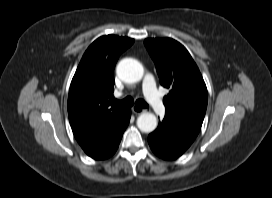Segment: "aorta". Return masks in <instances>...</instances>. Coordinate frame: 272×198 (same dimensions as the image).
<instances>
[{
    "label": "aorta",
    "mask_w": 272,
    "mask_h": 198,
    "mask_svg": "<svg viewBox=\"0 0 272 198\" xmlns=\"http://www.w3.org/2000/svg\"><path fill=\"white\" fill-rule=\"evenodd\" d=\"M116 73L124 82L135 83L142 79L144 69L137 60L126 58L118 63ZM137 126L140 131L145 133L154 131L157 127L156 116L152 113L141 114L137 119Z\"/></svg>",
    "instance_id": "1"
}]
</instances>
